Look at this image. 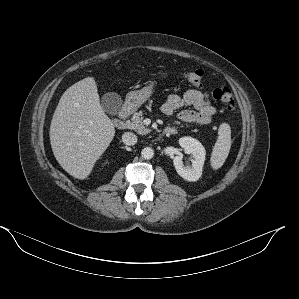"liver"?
<instances>
[{
    "instance_id": "1",
    "label": "liver",
    "mask_w": 299,
    "mask_h": 299,
    "mask_svg": "<svg viewBox=\"0 0 299 299\" xmlns=\"http://www.w3.org/2000/svg\"><path fill=\"white\" fill-rule=\"evenodd\" d=\"M49 135L60 166L74 178L86 179L115 135L93 77L82 79L63 93Z\"/></svg>"
}]
</instances>
